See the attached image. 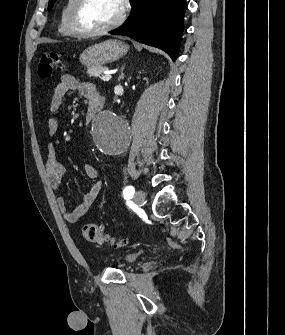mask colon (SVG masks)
<instances>
[{
	"mask_svg": "<svg viewBox=\"0 0 285 335\" xmlns=\"http://www.w3.org/2000/svg\"><path fill=\"white\" fill-rule=\"evenodd\" d=\"M59 54L56 52L44 53L38 63V76L42 80H49L53 75L55 68L59 63ZM83 235L85 239L93 243H107L114 248H120L126 245L124 240H116L108 233H106L102 227L94 223L85 224L83 227Z\"/></svg>",
	"mask_w": 285,
	"mask_h": 335,
	"instance_id": "colon-1",
	"label": "colon"
}]
</instances>
